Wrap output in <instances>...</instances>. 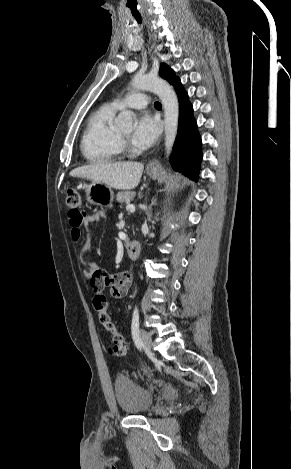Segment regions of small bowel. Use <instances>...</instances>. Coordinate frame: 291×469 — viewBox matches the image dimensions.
Instances as JSON below:
<instances>
[{"label":"small bowel","instance_id":"c3829d8e","mask_svg":"<svg viewBox=\"0 0 291 469\" xmlns=\"http://www.w3.org/2000/svg\"><path fill=\"white\" fill-rule=\"evenodd\" d=\"M104 216L103 212H97L92 215L78 217L75 214H68L70 225V236L73 242L77 243L81 239L82 228L89 229L90 224L99 221ZM80 263L86 268V276L89 278V285L94 295L103 293L105 287H110V294L114 298H122L127 294L132 281L130 271H123L116 274H110L100 268L95 263L89 262L84 255L79 256Z\"/></svg>","mask_w":291,"mask_h":469}]
</instances>
